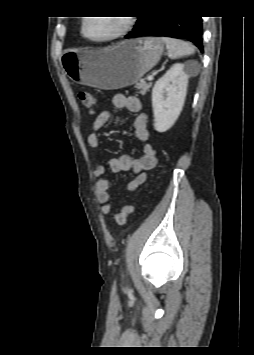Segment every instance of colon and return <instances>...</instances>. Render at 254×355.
I'll use <instances>...</instances> for the list:
<instances>
[{"label": "colon", "instance_id": "5ec220e1", "mask_svg": "<svg viewBox=\"0 0 254 355\" xmlns=\"http://www.w3.org/2000/svg\"><path fill=\"white\" fill-rule=\"evenodd\" d=\"M79 100L82 106L89 112L94 113L95 111V99L90 92L82 91L79 93ZM133 212V206L125 205L123 206L114 216L115 222L119 226H124L129 216Z\"/></svg>", "mask_w": 254, "mask_h": 355}]
</instances>
